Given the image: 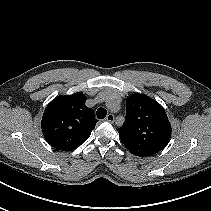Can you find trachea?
I'll return each mask as SVG.
<instances>
[{"instance_id":"3493384b","label":"trachea","mask_w":211,"mask_h":211,"mask_svg":"<svg viewBox=\"0 0 211 211\" xmlns=\"http://www.w3.org/2000/svg\"><path fill=\"white\" fill-rule=\"evenodd\" d=\"M96 114L98 119H104L107 115V111L104 108H98Z\"/></svg>"}]
</instances>
